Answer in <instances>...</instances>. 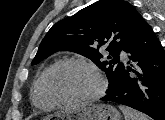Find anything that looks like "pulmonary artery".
Returning <instances> with one entry per match:
<instances>
[{"mask_svg": "<svg viewBox=\"0 0 165 120\" xmlns=\"http://www.w3.org/2000/svg\"><path fill=\"white\" fill-rule=\"evenodd\" d=\"M122 57H126V54L122 53Z\"/></svg>", "mask_w": 165, "mask_h": 120, "instance_id": "obj_1", "label": "pulmonary artery"}]
</instances>
